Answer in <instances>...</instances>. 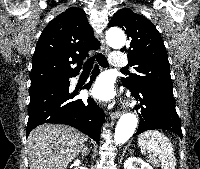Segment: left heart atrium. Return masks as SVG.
<instances>
[{"label":"left heart atrium","mask_w":200,"mask_h":169,"mask_svg":"<svg viewBox=\"0 0 200 169\" xmlns=\"http://www.w3.org/2000/svg\"><path fill=\"white\" fill-rule=\"evenodd\" d=\"M91 95L98 100L109 101L114 98L115 89L109 79L101 77L94 84Z\"/></svg>","instance_id":"obj_1"}]
</instances>
